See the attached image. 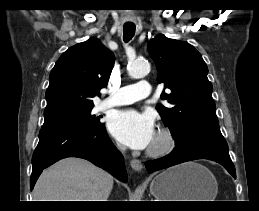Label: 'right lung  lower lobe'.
Segmentation results:
<instances>
[{"mask_svg":"<svg viewBox=\"0 0 259 211\" xmlns=\"http://www.w3.org/2000/svg\"><path fill=\"white\" fill-rule=\"evenodd\" d=\"M66 157L84 158L126 181L123 157L110 140L105 125L88 129L51 126L42 127L39 132V143L32 157L31 190L43 169Z\"/></svg>","mask_w":259,"mask_h":211,"instance_id":"1","label":"right lung lower lobe"}]
</instances>
